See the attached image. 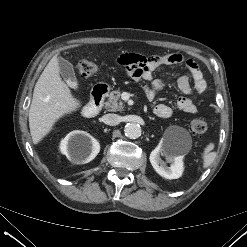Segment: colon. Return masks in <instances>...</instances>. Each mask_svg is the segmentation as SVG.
<instances>
[{"mask_svg": "<svg viewBox=\"0 0 247 247\" xmlns=\"http://www.w3.org/2000/svg\"><path fill=\"white\" fill-rule=\"evenodd\" d=\"M99 68L97 63L91 61H81L78 64V72L82 79L88 78L93 73H95ZM190 129L195 134H203L208 129V124L205 120L201 118H194L190 121Z\"/></svg>", "mask_w": 247, "mask_h": 247, "instance_id": "colon-1", "label": "colon"}]
</instances>
